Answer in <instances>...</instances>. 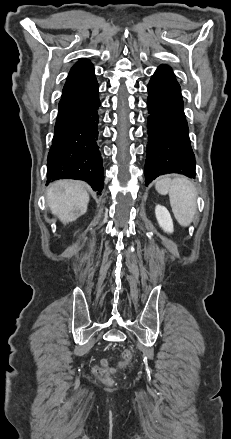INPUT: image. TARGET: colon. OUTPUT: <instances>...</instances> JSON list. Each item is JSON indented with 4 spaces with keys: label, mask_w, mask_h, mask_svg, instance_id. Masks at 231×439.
I'll return each mask as SVG.
<instances>
[{
    "label": "colon",
    "mask_w": 231,
    "mask_h": 439,
    "mask_svg": "<svg viewBox=\"0 0 231 439\" xmlns=\"http://www.w3.org/2000/svg\"><path fill=\"white\" fill-rule=\"evenodd\" d=\"M133 351L130 349H125L122 352V364H128L133 360ZM113 367L107 362L103 361L100 365L95 366L93 369V373L96 377L104 382H109L110 373L112 372Z\"/></svg>",
    "instance_id": "5ec220e1"
}]
</instances>
